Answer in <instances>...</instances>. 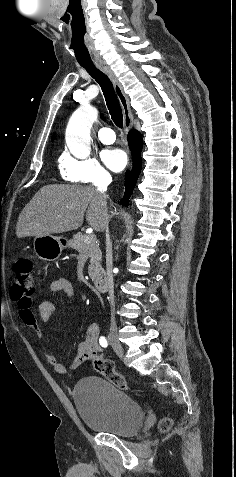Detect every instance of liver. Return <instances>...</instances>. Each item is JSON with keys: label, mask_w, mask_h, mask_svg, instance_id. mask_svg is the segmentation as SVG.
<instances>
[{"label": "liver", "mask_w": 236, "mask_h": 477, "mask_svg": "<svg viewBox=\"0 0 236 477\" xmlns=\"http://www.w3.org/2000/svg\"><path fill=\"white\" fill-rule=\"evenodd\" d=\"M105 206L96 189L52 184L43 186L19 215L16 235L46 236L78 229L84 220L103 230Z\"/></svg>", "instance_id": "obj_1"}]
</instances>
